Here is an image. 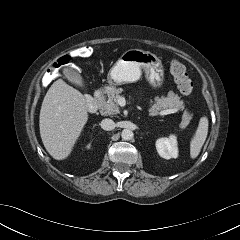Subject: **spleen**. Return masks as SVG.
I'll return each mask as SVG.
<instances>
[{
  "label": "spleen",
  "mask_w": 240,
  "mask_h": 240,
  "mask_svg": "<svg viewBox=\"0 0 240 240\" xmlns=\"http://www.w3.org/2000/svg\"><path fill=\"white\" fill-rule=\"evenodd\" d=\"M208 126V118L206 116L201 117L197 130L190 141V157L192 159H195L201 151V148L207 138Z\"/></svg>",
  "instance_id": "spleen-1"
}]
</instances>
